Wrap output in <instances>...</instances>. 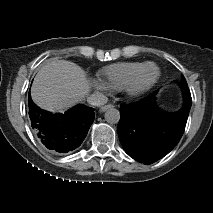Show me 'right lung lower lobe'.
Returning a JSON list of instances; mask_svg holds the SVG:
<instances>
[{
  "label": "right lung lower lobe",
  "instance_id": "98d812e1",
  "mask_svg": "<svg viewBox=\"0 0 213 213\" xmlns=\"http://www.w3.org/2000/svg\"><path fill=\"white\" fill-rule=\"evenodd\" d=\"M31 126L41 142L49 149L66 153L84 140L94 121V109L77 105L64 114H52L36 106L28 96Z\"/></svg>",
  "mask_w": 213,
  "mask_h": 213
}]
</instances>
